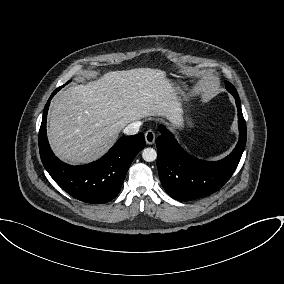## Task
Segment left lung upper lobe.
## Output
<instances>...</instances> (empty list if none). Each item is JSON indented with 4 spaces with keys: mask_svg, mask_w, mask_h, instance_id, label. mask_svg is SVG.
<instances>
[{
    "mask_svg": "<svg viewBox=\"0 0 284 284\" xmlns=\"http://www.w3.org/2000/svg\"><path fill=\"white\" fill-rule=\"evenodd\" d=\"M226 85V89L233 95V96H238L237 90L235 89V87L229 83V82H225Z\"/></svg>",
    "mask_w": 284,
    "mask_h": 284,
    "instance_id": "5c2ea615",
    "label": "left lung upper lobe"
}]
</instances>
